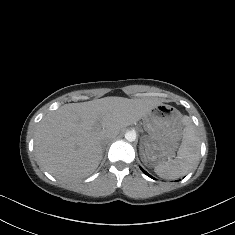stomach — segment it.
<instances>
[{
	"instance_id": "obj_1",
	"label": "stomach",
	"mask_w": 235,
	"mask_h": 235,
	"mask_svg": "<svg viewBox=\"0 0 235 235\" xmlns=\"http://www.w3.org/2000/svg\"><path fill=\"white\" fill-rule=\"evenodd\" d=\"M144 130L141 159L148 167L170 160L183 136V116L168 104H159L142 117Z\"/></svg>"
}]
</instances>
